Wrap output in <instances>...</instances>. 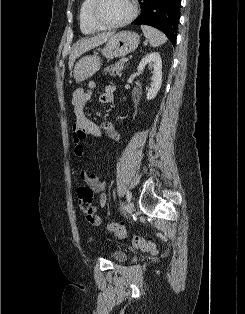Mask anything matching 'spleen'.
<instances>
[{
	"label": "spleen",
	"instance_id": "1",
	"mask_svg": "<svg viewBox=\"0 0 245 314\" xmlns=\"http://www.w3.org/2000/svg\"><path fill=\"white\" fill-rule=\"evenodd\" d=\"M141 30L152 47H158L167 41L165 34L154 27L141 25Z\"/></svg>",
	"mask_w": 245,
	"mask_h": 314
}]
</instances>
